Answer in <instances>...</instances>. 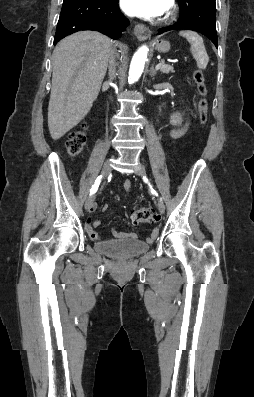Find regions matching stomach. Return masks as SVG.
<instances>
[{"label":"stomach","instance_id":"stomach-1","mask_svg":"<svg viewBox=\"0 0 254 397\" xmlns=\"http://www.w3.org/2000/svg\"><path fill=\"white\" fill-rule=\"evenodd\" d=\"M155 49L158 52H168L170 50V43L168 41L165 40H161V41H155Z\"/></svg>","mask_w":254,"mask_h":397}]
</instances>
